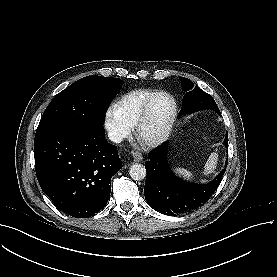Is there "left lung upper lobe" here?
Returning <instances> with one entry per match:
<instances>
[{
  "label": "left lung upper lobe",
  "mask_w": 277,
  "mask_h": 277,
  "mask_svg": "<svg viewBox=\"0 0 277 277\" xmlns=\"http://www.w3.org/2000/svg\"><path fill=\"white\" fill-rule=\"evenodd\" d=\"M181 84L184 92H186L183 98L181 116L203 109H212L221 115L219 108L211 95L207 94L197 86L194 87L191 80L187 78L182 77Z\"/></svg>",
  "instance_id": "5c2ea615"
}]
</instances>
